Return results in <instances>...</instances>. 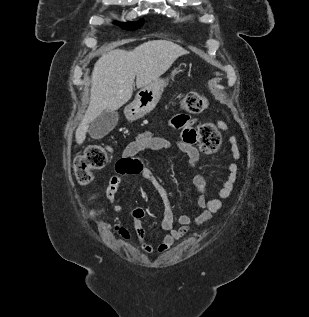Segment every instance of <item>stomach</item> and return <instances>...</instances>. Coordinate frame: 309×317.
<instances>
[{"label": "stomach", "mask_w": 309, "mask_h": 317, "mask_svg": "<svg viewBox=\"0 0 309 317\" xmlns=\"http://www.w3.org/2000/svg\"><path fill=\"white\" fill-rule=\"evenodd\" d=\"M179 71L174 69L172 75L174 76ZM167 81V79H158L138 91L134 101L125 107L124 114L126 118L129 121H135L152 111L160 100Z\"/></svg>", "instance_id": "1"}]
</instances>
